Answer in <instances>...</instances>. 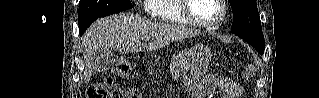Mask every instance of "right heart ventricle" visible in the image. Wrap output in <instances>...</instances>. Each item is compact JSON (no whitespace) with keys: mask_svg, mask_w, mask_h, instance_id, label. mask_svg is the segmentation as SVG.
I'll return each mask as SVG.
<instances>
[{"mask_svg":"<svg viewBox=\"0 0 319 98\" xmlns=\"http://www.w3.org/2000/svg\"><path fill=\"white\" fill-rule=\"evenodd\" d=\"M146 9L155 19L175 24H190L183 16L180 0H146Z\"/></svg>","mask_w":319,"mask_h":98,"instance_id":"e07e8e85","label":"right heart ventricle"}]
</instances>
